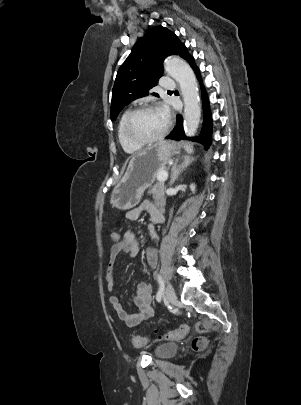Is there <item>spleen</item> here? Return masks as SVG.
I'll return each mask as SVG.
<instances>
[{
    "mask_svg": "<svg viewBox=\"0 0 301 405\" xmlns=\"http://www.w3.org/2000/svg\"><path fill=\"white\" fill-rule=\"evenodd\" d=\"M185 150L187 151V153L191 154L193 152V148L192 146H190L189 144H186L184 146Z\"/></svg>",
    "mask_w": 301,
    "mask_h": 405,
    "instance_id": "obj_1",
    "label": "spleen"
}]
</instances>
